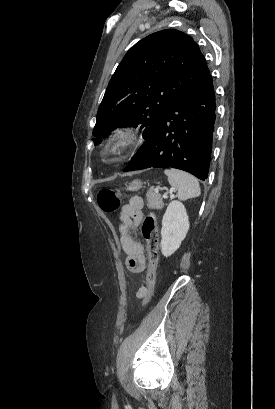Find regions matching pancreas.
Wrapping results in <instances>:
<instances>
[{
  "instance_id": "pancreas-1",
  "label": "pancreas",
  "mask_w": 275,
  "mask_h": 409,
  "mask_svg": "<svg viewBox=\"0 0 275 409\" xmlns=\"http://www.w3.org/2000/svg\"><path fill=\"white\" fill-rule=\"evenodd\" d=\"M146 196L148 200L147 207H149V209H162V207H164V202L161 194H157V192H154L152 188L148 190Z\"/></svg>"
}]
</instances>
